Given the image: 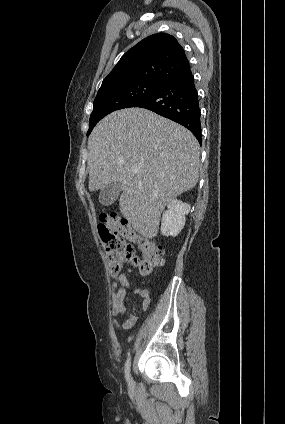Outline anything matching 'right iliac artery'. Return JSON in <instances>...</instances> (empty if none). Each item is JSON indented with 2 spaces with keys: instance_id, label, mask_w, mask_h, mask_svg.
<instances>
[{
  "instance_id": "obj_1",
  "label": "right iliac artery",
  "mask_w": 285,
  "mask_h": 424,
  "mask_svg": "<svg viewBox=\"0 0 285 424\" xmlns=\"http://www.w3.org/2000/svg\"><path fill=\"white\" fill-rule=\"evenodd\" d=\"M130 366H131V357H128L125 363V378L127 382L130 383Z\"/></svg>"
}]
</instances>
